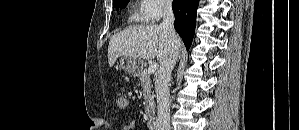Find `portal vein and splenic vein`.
<instances>
[{
	"label": "portal vein and splenic vein",
	"mask_w": 299,
	"mask_h": 130,
	"mask_svg": "<svg viewBox=\"0 0 299 130\" xmlns=\"http://www.w3.org/2000/svg\"><path fill=\"white\" fill-rule=\"evenodd\" d=\"M157 69H158V64H157V63H154V64H151V65L148 67L147 72H148L149 74H152V73H154Z\"/></svg>",
	"instance_id": "18ae733b"
}]
</instances>
